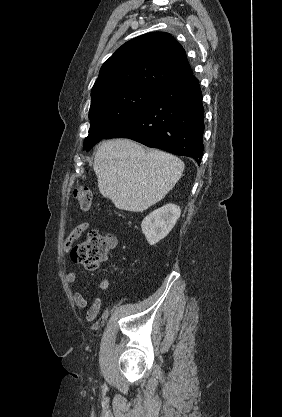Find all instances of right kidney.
<instances>
[{
	"mask_svg": "<svg viewBox=\"0 0 282 417\" xmlns=\"http://www.w3.org/2000/svg\"><path fill=\"white\" fill-rule=\"evenodd\" d=\"M180 215V206L172 202L160 206V209L147 215L141 223V229L149 245H156L161 239H165L176 225Z\"/></svg>",
	"mask_w": 282,
	"mask_h": 417,
	"instance_id": "right-kidney-1",
	"label": "right kidney"
}]
</instances>
